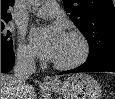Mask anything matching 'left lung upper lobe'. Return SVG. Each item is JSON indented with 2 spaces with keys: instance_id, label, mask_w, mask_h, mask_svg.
I'll return each instance as SVG.
<instances>
[{
  "instance_id": "obj_1",
  "label": "left lung upper lobe",
  "mask_w": 115,
  "mask_h": 99,
  "mask_svg": "<svg viewBox=\"0 0 115 99\" xmlns=\"http://www.w3.org/2000/svg\"><path fill=\"white\" fill-rule=\"evenodd\" d=\"M69 17L89 43L88 61L115 54L112 0H63Z\"/></svg>"
}]
</instances>
